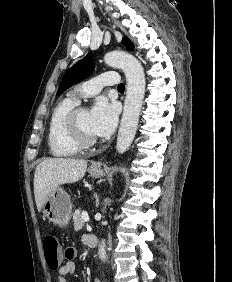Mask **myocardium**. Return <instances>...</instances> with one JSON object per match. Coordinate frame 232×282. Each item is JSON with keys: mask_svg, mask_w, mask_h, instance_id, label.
Returning a JSON list of instances; mask_svg holds the SVG:
<instances>
[{"mask_svg": "<svg viewBox=\"0 0 232 282\" xmlns=\"http://www.w3.org/2000/svg\"><path fill=\"white\" fill-rule=\"evenodd\" d=\"M85 110V107L76 105L66 115L65 129L69 139L80 149L89 148L97 143L96 138L87 137L80 129L78 123L79 113Z\"/></svg>", "mask_w": 232, "mask_h": 282, "instance_id": "obj_1", "label": "myocardium"}]
</instances>
